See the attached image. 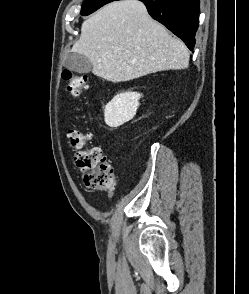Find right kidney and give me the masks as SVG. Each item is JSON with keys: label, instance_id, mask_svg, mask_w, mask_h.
Here are the masks:
<instances>
[{"label": "right kidney", "instance_id": "right-kidney-1", "mask_svg": "<svg viewBox=\"0 0 249 294\" xmlns=\"http://www.w3.org/2000/svg\"><path fill=\"white\" fill-rule=\"evenodd\" d=\"M141 94L124 92L116 95L105 107V123L110 127H119L135 116Z\"/></svg>", "mask_w": 249, "mask_h": 294}]
</instances>
